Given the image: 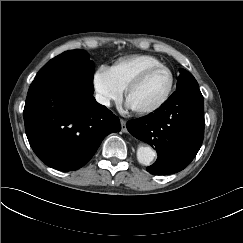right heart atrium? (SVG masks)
Wrapping results in <instances>:
<instances>
[{"mask_svg": "<svg viewBox=\"0 0 243 243\" xmlns=\"http://www.w3.org/2000/svg\"><path fill=\"white\" fill-rule=\"evenodd\" d=\"M93 86L99 102L104 106H110L122 97V90L114 82L107 67H100L94 74Z\"/></svg>", "mask_w": 243, "mask_h": 243, "instance_id": "1", "label": "right heart atrium"}]
</instances>
